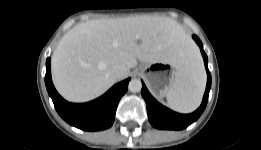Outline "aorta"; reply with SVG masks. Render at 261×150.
Listing matches in <instances>:
<instances>
[{
	"label": "aorta",
	"mask_w": 261,
	"mask_h": 150,
	"mask_svg": "<svg viewBox=\"0 0 261 150\" xmlns=\"http://www.w3.org/2000/svg\"><path fill=\"white\" fill-rule=\"evenodd\" d=\"M129 91L133 92V93H137L140 92L142 89V83L141 80L139 79H132L129 82V86H128Z\"/></svg>",
	"instance_id": "762f6f07"
}]
</instances>
